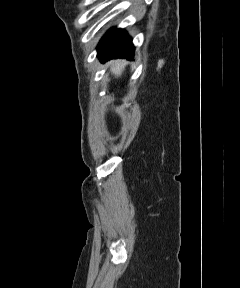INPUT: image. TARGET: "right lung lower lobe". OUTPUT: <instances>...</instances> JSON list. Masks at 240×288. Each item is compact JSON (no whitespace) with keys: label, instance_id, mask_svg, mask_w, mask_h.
I'll list each match as a JSON object with an SVG mask.
<instances>
[{"label":"right lung lower lobe","instance_id":"obj_1","mask_svg":"<svg viewBox=\"0 0 240 288\" xmlns=\"http://www.w3.org/2000/svg\"><path fill=\"white\" fill-rule=\"evenodd\" d=\"M133 55L132 39L122 29H110L98 45V57L102 60L119 57L132 59Z\"/></svg>","mask_w":240,"mask_h":288}]
</instances>
